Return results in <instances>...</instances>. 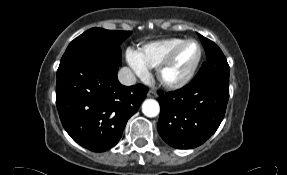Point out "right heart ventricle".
<instances>
[{
	"label": "right heart ventricle",
	"instance_id": "right-heart-ventricle-1",
	"mask_svg": "<svg viewBox=\"0 0 287 175\" xmlns=\"http://www.w3.org/2000/svg\"><path fill=\"white\" fill-rule=\"evenodd\" d=\"M182 38H167L152 41L142 45L138 49V55L141 62L148 68H157L170 51L178 44L183 42Z\"/></svg>",
	"mask_w": 287,
	"mask_h": 175
}]
</instances>
